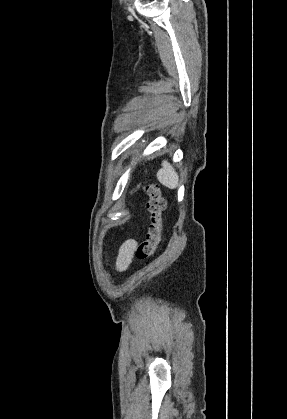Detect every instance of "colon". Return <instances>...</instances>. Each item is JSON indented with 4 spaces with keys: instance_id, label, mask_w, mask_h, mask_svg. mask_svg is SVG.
Segmentation results:
<instances>
[{
    "instance_id": "5ec220e1",
    "label": "colon",
    "mask_w": 287,
    "mask_h": 419,
    "mask_svg": "<svg viewBox=\"0 0 287 419\" xmlns=\"http://www.w3.org/2000/svg\"><path fill=\"white\" fill-rule=\"evenodd\" d=\"M145 192L148 196L150 223L145 240L136 248V256L141 261L151 258L158 249L161 242L162 213L165 209V201L155 184H147Z\"/></svg>"
}]
</instances>
